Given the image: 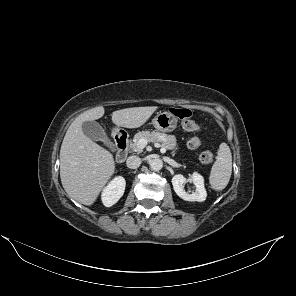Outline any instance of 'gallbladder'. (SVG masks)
Instances as JSON below:
<instances>
[{
  "instance_id": "gallbladder-1",
  "label": "gallbladder",
  "mask_w": 296,
  "mask_h": 296,
  "mask_svg": "<svg viewBox=\"0 0 296 296\" xmlns=\"http://www.w3.org/2000/svg\"><path fill=\"white\" fill-rule=\"evenodd\" d=\"M83 133L93 141H100L111 151H115V144L108 137L102 126L96 121H85L82 124Z\"/></svg>"
}]
</instances>
